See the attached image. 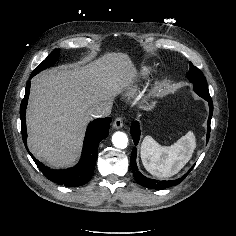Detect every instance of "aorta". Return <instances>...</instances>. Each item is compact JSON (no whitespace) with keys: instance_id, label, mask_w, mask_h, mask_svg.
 <instances>
[{"instance_id":"obj_1","label":"aorta","mask_w":236,"mask_h":236,"mask_svg":"<svg viewBox=\"0 0 236 236\" xmlns=\"http://www.w3.org/2000/svg\"><path fill=\"white\" fill-rule=\"evenodd\" d=\"M112 142L116 148L125 149L128 144V137L124 132H115L112 136Z\"/></svg>"}]
</instances>
